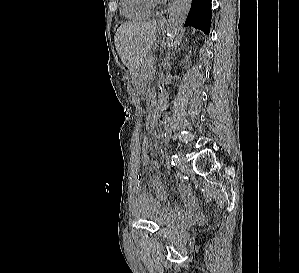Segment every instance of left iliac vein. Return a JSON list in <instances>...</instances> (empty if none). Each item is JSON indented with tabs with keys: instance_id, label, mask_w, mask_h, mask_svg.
<instances>
[{
	"instance_id": "4c4485c4",
	"label": "left iliac vein",
	"mask_w": 299,
	"mask_h": 273,
	"mask_svg": "<svg viewBox=\"0 0 299 273\" xmlns=\"http://www.w3.org/2000/svg\"><path fill=\"white\" fill-rule=\"evenodd\" d=\"M178 158H179V162H178V166L181 170H185L187 168V164L184 160V157H183V152L182 151H179L178 152Z\"/></svg>"
}]
</instances>
